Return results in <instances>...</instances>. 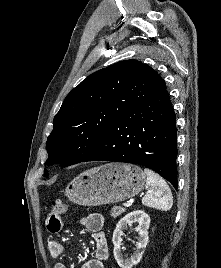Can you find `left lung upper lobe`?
Segmentation results:
<instances>
[{
    "mask_svg": "<svg viewBox=\"0 0 221 268\" xmlns=\"http://www.w3.org/2000/svg\"><path fill=\"white\" fill-rule=\"evenodd\" d=\"M165 88L154 69L136 60L91 74L71 90L54 117L46 164L68 166L84 161L119 116Z\"/></svg>",
    "mask_w": 221,
    "mask_h": 268,
    "instance_id": "1",
    "label": "left lung upper lobe"
}]
</instances>
